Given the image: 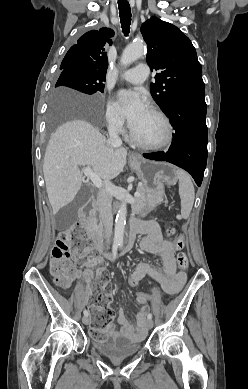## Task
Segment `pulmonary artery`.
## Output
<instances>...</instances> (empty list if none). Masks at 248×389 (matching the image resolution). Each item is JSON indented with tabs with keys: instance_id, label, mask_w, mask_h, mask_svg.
<instances>
[{
	"instance_id": "pulmonary-artery-1",
	"label": "pulmonary artery",
	"mask_w": 248,
	"mask_h": 389,
	"mask_svg": "<svg viewBox=\"0 0 248 389\" xmlns=\"http://www.w3.org/2000/svg\"><path fill=\"white\" fill-rule=\"evenodd\" d=\"M149 76V68L145 63L138 64L136 67L126 70L122 73L123 80L132 84H141Z\"/></svg>"
}]
</instances>
